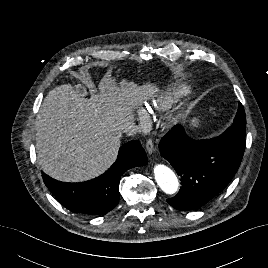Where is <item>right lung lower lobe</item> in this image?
Segmentation results:
<instances>
[{"mask_svg": "<svg viewBox=\"0 0 268 268\" xmlns=\"http://www.w3.org/2000/svg\"><path fill=\"white\" fill-rule=\"evenodd\" d=\"M147 164V156L139 141L126 143L119 149L116 162L103 175L82 183L58 182L42 174L45 185L68 210L88 215H105L119 202L120 177L130 168Z\"/></svg>", "mask_w": 268, "mask_h": 268, "instance_id": "98d812e1", "label": "right lung lower lobe"}]
</instances>
